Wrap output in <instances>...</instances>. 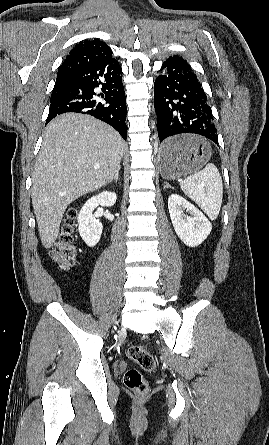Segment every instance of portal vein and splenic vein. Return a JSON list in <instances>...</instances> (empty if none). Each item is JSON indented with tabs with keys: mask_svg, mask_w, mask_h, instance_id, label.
<instances>
[{
	"mask_svg": "<svg viewBox=\"0 0 269 445\" xmlns=\"http://www.w3.org/2000/svg\"><path fill=\"white\" fill-rule=\"evenodd\" d=\"M94 168H95V169H99V166H98V165H96V166H94Z\"/></svg>",
	"mask_w": 269,
	"mask_h": 445,
	"instance_id": "portal-vein-and-splenic-vein-1",
	"label": "portal vein and splenic vein"
}]
</instances>
